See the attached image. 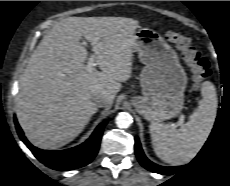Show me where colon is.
Returning a JSON list of instances; mask_svg holds the SVG:
<instances>
[{
  "label": "colon",
  "instance_id": "colon-1",
  "mask_svg": "<svg viewBox=\"0 0 230 186\" xmlns=\"http://www.w3.org/2000/svg\"><path fill=\"white\" fill-rule=\"evenodd\" d=\"M165 38L180 51L181 57L189 67L195 85H200L210 75V64L192 45L191 39L177 31H168Z\"/></svg>",
  "mask_w": 230,
  "mask_h": 186
}]
</instances>
